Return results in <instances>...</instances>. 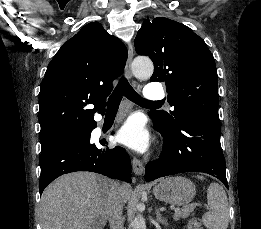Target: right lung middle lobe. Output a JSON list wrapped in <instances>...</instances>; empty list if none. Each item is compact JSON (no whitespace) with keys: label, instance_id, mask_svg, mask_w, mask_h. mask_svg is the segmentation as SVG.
<instances>
[{"label":"right lung middle lobe","instance_id":"obj_1","mask_svg":"<svg viewBox=\"0 0 261 229\" xmlns=\"http://www.w3.org/2000/svg\"><path fill=\"white\" fill-rule=\"evenodd\" d=\"M85 133H82L76 137H80L85 135ZM52 134L51 133H46V134H40V141H41V152L47 151L48 149H50L52 146L51 141H52Z\"/></svg>","mask_w":261,"mask_h":229}]
</instances>
